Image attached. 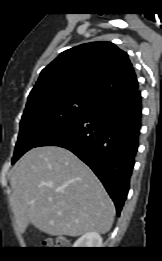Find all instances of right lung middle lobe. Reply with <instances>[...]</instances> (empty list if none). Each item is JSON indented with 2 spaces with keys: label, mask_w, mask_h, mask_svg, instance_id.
Masks as SVG:
<instances>
[{
  "label": "right lung middle lobe",
  "mask_w": 162,
  "mask_h": 261,
  "mask_svg": "<svg viewBox=\"0 0 162 261\" xmlns=\"http://www.w3.org/2000/svg\"><path fill=\"white\" fill-rule=\"evenodd\" d=\"M99 104L86 96L68 93L27 101L12 164L52 130L86 114Z\"/></svg>",
  "instance_id": "right-lung-middle-lobe-1"
}]
</instances>
